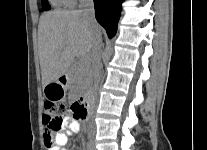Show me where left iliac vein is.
I'll return each instance as SVG.
<instances>
[{
    "mask_svg": "<svg viewBox=\"0 0 207 150\" xmlns=\"http://www.w3.org/2000/svg\"><path fill=\"white\" fill-rule=\"evenodd\" d=\"M90 147H91L90 148L91 150H95L94 147H93V145H92V143L90 144Z\"/></svg>",
    "mask_w": 207,
    "mask_h": 150,
    "instance_id": "4c4485c4",
    "label": "left iliac vein"
}]
</instances>
